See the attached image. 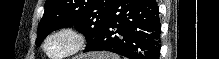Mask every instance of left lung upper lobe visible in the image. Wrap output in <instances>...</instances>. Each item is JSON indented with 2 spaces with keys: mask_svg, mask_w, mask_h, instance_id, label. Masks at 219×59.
Returning <instances> with one entry per match:
<instances>
[{
  "mask_svg": "<svg viewBox=\"0 0 219 59\" xmlns=\"http://www.w3.org/2000/svg\"><path fill=\"white\" fill-rule=\"evenodd\" d=\"M114 0H46L36 45L52 31L71 25L83 33L89 47L100 35Z\"/></svg>",
  "mask_w": 219,
  "mask_h": 59,
  "instance_id": "obj_1",
  "label": "left lung upper lobe"
}]
</instances>
